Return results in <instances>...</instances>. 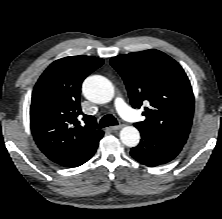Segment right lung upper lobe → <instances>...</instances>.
Wrapping results in <instances>:
<instances>
[{
  "instance_id": "cb5924a9",
  "label": "right lung upper lobe",
  "mask_w": 222,
  "mask_h": 219,
  "mask_svg": "<svg viewBox=\"0 0 222 219\" xmlns=\"http://www.w3.org/2000/svg\"><path fill=\"white\" fill-rule=\"evenodd\" d=\"M104 63L93 56L54 61L37 81L30 109V127L39 149L54 163L75 167L103 135L93 116L80 108L83 80ZM82 114L85 125L77 116Z\"/></svg>"
}]
</instances>
